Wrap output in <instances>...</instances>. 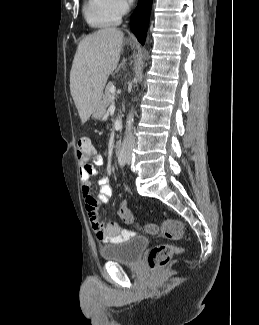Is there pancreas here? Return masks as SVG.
Segmentation results:
<instances>
[{"instance_id":"obj_1","label":"pancreas","mask_w":259,"mask_h":325,"mask_svg":"<svg viewBox=\"0 0 259 325\" xmlns=\"http://www.w3.org/2000/svg\"><path fill=\"white\" fill-rule=\"evenodd\" d=\"M111 86H112V83L107 84V86L105 88V93L103 96V103L106 107H108L111 102V96H112L111 90H110Z\"/></svg>"}]
</instances>
